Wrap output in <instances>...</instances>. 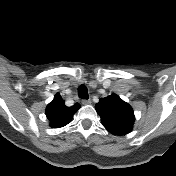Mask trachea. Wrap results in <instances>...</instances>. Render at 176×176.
I'll return each mask as SVG.
<instances>
[{
    "label": "trachea",
    "mask_w": 176,
    "mask_h": 176,
    "mask_svg": "<svg viewBox=\"0 0 176 176\" xmlns=\"http://www.w3.org/2000/svg\"><path fill=\"white\" fill-rule=\"evenodd\" d=\"M78 95L82 99H88L87 87L84 84H81L78 89Z\"/></svg>",
    "instance_id": "obj_1"
}]
</instances>
